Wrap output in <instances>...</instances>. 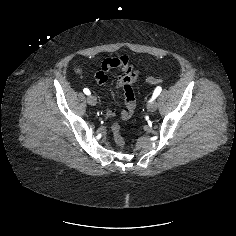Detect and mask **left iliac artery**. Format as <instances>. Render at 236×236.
Segmentation results:
<instances>
[{
	"label": "left iliac artery",
	"instance_id": "obj_1",
	"mask_svg": "<svg viewBox=\"0 0 236 236\" xmlns=\"http://www.w3.org/2000/svg\"><path fill=\"white\" fill-rule=\"evenodd\" d=\"M162 91V88L160 86L156 87V89L154 90L152 99H155Z\"/></svg>",
	"mask_w": 236,
	"mask_h": 236
}]
</instances>
